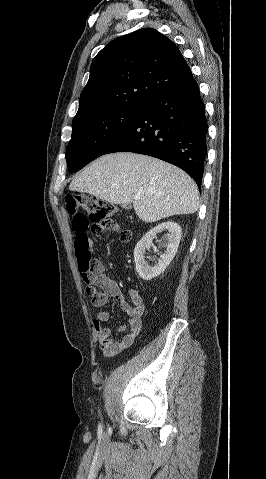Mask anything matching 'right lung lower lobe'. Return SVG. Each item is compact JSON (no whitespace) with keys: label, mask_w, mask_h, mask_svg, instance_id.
<instances>
[{"label":"right lung lower lobe","mask_w":266,"mask_h":479,"mask_svg":"<svg viewBox=\"0 0 266 479\" xmlns=\"http://www.w3.org/2000/svg\"><path fill=\"white\" fill-rule=\"evenodd\" d=\"M207 131L205 106L191 77L152 99L104 154L135 152L159 158L186 171L201 189Z\"/></svg>","instance_id":"98d812e1"}]
</instances>
